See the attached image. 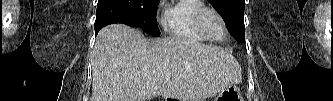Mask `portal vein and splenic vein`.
Here are the masks:
<instances>
[{
    "label": "portal vein and splenic vein",
    "instance_id": "portal-vein-and-splenic-vein-1",
    "mask_svg": "<svg viewBox=\"0 0 333 101\" xmlns=\"http://www.w3.org/2000/svg\"><path fill=\"white\" fill-rule=\"evenodd\" d=\"M169 80H170V75L168 74L165 76V81H169Z\"/></svg>",
    "mask_w": 333,
    "mask_h": 101
}]
</instances>
